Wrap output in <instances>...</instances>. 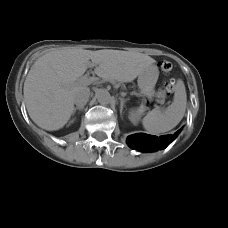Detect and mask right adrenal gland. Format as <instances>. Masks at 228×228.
I'll list each match as a JSON object with an SVG mask.
<instances>
[{"mask_svg": "<svg viewBox=\"0 0 228 228\" xmlns=\"http://www.w3.org/2000/svg\"><path fill=\"white\" fill-rule=\"evenodd\" d=\"M76 110H79V111H81V110H83V107H75L74 109H73V115L75 114V112H76Z\"/></svg>", "mask_w": 228, "mask_h": 228, "instance_id": "1", "label": "right adrenal gland"}]
</instances>
